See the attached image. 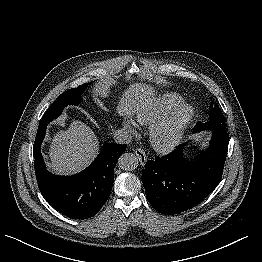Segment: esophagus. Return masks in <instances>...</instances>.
Instances as JSON below:
<instances>
[{
    "label": "esophagus",
    "mask_w": 262,
    "mask_h": 262,
    "mask_svg": "<svg viewBox=\"0 0 262 262\" xmlns=\"http://www.w3.org/2000/svg\"><path fill=\"white\" fill-rule=\"evenodd\" d=\"M135 154H136L140 164L145 165V163L147 162V156H146L145 151L142 148H136Z\"/></svg>",
    "instance_id": "1"
}]
</instances>
